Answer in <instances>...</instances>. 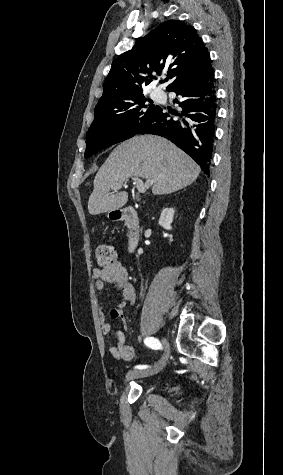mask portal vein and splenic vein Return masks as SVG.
<instances>
[{
  "mask_svg": "<svg viewBox=\"0 0 283 475\" xmlns=\"http://www.w3.org/2000/svg\"><path fill=\"white\" fill-rule=\"evenodd\" d=\"M132 180L133 184L137 186V190L140 192V194H144V192H146V190L152 186V182H150V180H147L146 184H143L142 180H139V178H132ZM125 184H127V182H125ZM117 188L120 190V188H122V184H117Z\"/></svg>",
  "mask_w": 283,
  "mask_h": 475,
  "instance_id": "18ae733b",
  "label": "portal vein and splenic vein"
}]
</instances>
